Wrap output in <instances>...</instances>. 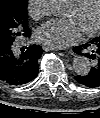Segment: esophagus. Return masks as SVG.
<instances>
[{
    "mask_svg": "<svg viewBox=\"0 0 100 118\" xmlns=\"http://www.w3.org/2000/svg\"><path fill=\"white\" fill-rule=\"evenodd\" d=\"M42 48H43V50H45V51H50V50H58V49H56L55 47H52V46H49V45H43L42 46ZM71 53V52H70Z\"/></svg>",
    "mask_w": 100,
    "mask_h": 118,
    "instance_id": "esophagus-1",
    "label": "esophagus"
}]
</instances>
